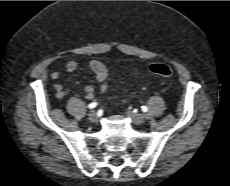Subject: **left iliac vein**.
Listing matches in <instances>:
<instances>
[{"instance_id": "1", "label": "left iliac vein", "mask_w": 230, "mask_h": 186, "mask_svg": "<svg viewBox=\"0 0 230 186\" xmlns=\"http://www.w3.org/2000/svg\"><path fill=\"white\" fill-rule=\"evenodd\" d=\"M127 114L136 124H142L146 118V116L144 114H141V113H133V112L129 111Z\"/></svg>"}]
</instances>
